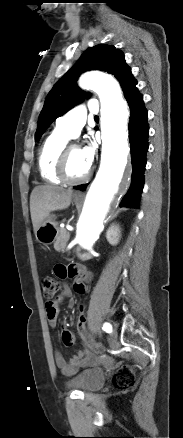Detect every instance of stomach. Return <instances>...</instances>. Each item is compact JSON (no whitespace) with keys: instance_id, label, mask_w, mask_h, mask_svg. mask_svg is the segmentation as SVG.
<instances>
[{"instance_id":"obj_1","label":"stomach","mask_w":183,"mask_h":438,"mask_svg":"<svg viewBox=\"0 0 183 438\" xmlns=\"http://www.w3.org/2000/svg\"><path fill=\"white\" fill-rule=\"evenodd\" d=\"M73 201L78 203L80 198L77 196L73 197ZM59 228L58 223L56 222V217L52 214H49L38 226L35 235L37 240L44 244L49 245L54 242L58 236Z\"/></svg>"}]
</instances>
